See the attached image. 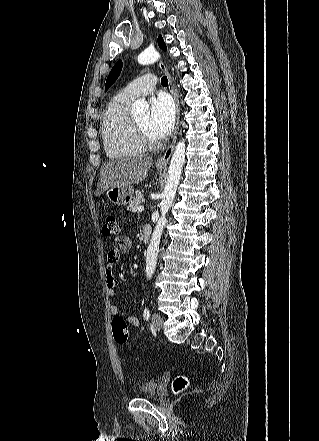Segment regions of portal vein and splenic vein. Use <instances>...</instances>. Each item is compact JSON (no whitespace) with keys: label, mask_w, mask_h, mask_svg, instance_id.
<instances>
[{"label":"portal vein and splenic vein","mask_w":319,"mask_h":441,"mask_svg":"<svg viewBox=\"0 0 319 441\" xmlns=\"http://www.w3.org/2000/svg\"><path fill=\"white\" fill-rule=\"evenodd\" d=\"M144 210V206H139L138 208H137V211L138 212H142Z\"/></svg>","instance_id":"1"}]
</instances>
